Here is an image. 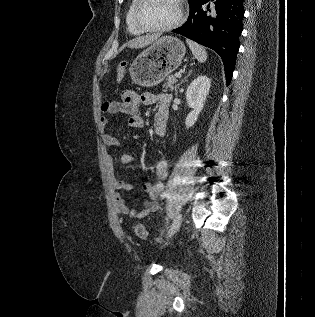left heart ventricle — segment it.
<instances>
[{
    "label": "left heart ventricle",
    "mask_w": 315,
    "mask_h": 317,
    "mask_svg": "<svg viewBox=\"0 0 315 317\" xmlns=\"http://www.w3.org/2000/svg\"><path fill=\"white\" fill-rule=\"evenodd\" d=\"M177 0H145L139 9L140 22L149 27L164 26L178 16Z\"/></svg>",
    "instance_id": "b2bd125f"
}]
</instances>
